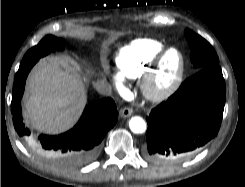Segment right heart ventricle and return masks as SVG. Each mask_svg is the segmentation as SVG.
<instances>
[{
    "mask_svg": "<svg viewBox=\"0 0 245 187\" xmlns=\"http://www.w3.org/2000/svg\"><path fill=\"white\" fill-rule=\"evenodd\" d=\"M164 48L162 42L151 38L138 39L121 48L115 59L119 77L142 78Z\"/></svg>",
    "mask_w": 245,
    "mask_h": 187,
    "instance_id": "obj_1",
    "label": "right heart ventricle"
}]
</instances>
